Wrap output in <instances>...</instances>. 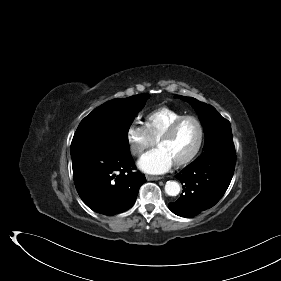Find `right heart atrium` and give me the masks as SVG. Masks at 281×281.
I'll return each mask as SVG.
<instances>
[{
    "mask_svg": "<svg viewBox=\"0 0 281 281\" xmlns=\"http://www.w3.org/2000/svg\"><path fill=\"white\" fill-rule=\"evenodd\" d=\"M126 137L130 151L135 156L142 155L156 143L150 136L146 127L137 122H133L129 125Z\"/></svg>",
    "mask_w": 281,
    "mask_h": 281,
    "instance_id": "d8ad5b80",
    "label": "right heart atrium"
}]
</instances>
